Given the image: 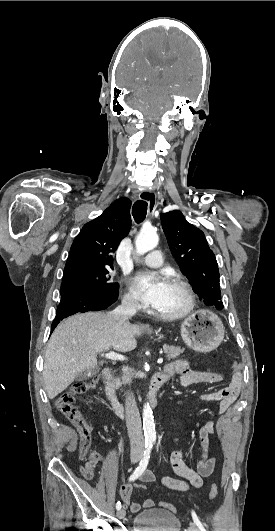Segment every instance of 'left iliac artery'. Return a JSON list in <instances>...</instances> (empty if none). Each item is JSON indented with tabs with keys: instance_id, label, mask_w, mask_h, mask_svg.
<instances>
[{
	"instance_id": "44dca946",
	"label": "left iliac artery",
	"mask_w": 275,
	"mask_h": 531,
	"mask_svg": "<svg viewBox=\"0 0 275 531\" xmlns=\"http://www.w3.org/2000/svg\"><path fill=\"white\" fill-rule=\"evenodd\" d=\"M191 514H192V518H193L194 522L196 523V525L198 526L200 531H206V529L204 528V526L202 525V523L200 522L199 518L197 517L196 513L193 510H192Z\"/></svg>"
}]
</instances>
